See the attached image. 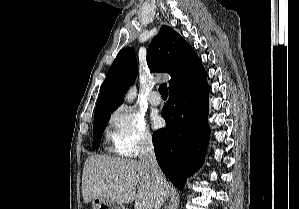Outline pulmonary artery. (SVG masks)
I'll list each match as a JSON object with an SVG mask.
<instances>
[{
  "label": "pulmonary artery",
  "mask_w": 299,
  "mask_h": 209,
  "mask_svg": "<svg viewBox=\"0 0 299 209\" xmlns=\"http://www.w3.org/2000/svg\"><path fill=\"white\" fill-rule=\"evenodd\" d=\"M149 102L153 106H158L161 104L162 100L157 91H152L148 98Z\"/></svg>",
  "instance_id": "pulmonary-artery-1"
}]
</instances>
